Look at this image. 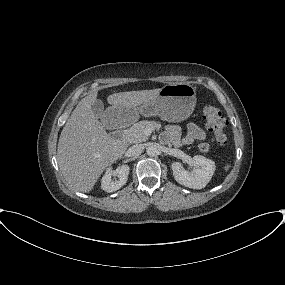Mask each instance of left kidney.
<instances>
[{"label": "left kidney", "mask_w": 285, "mask_h": 285, "mask_svg": "<svg viewBox=\"0 0 285 285\" xmlns=\"http://www.w3.org/2000/svg\"><path fill=\"white\" fill-rule=\"evenodd\" d=\"M193 170L186 171L181 163L174 162L171 165L175 180L186 187L193 189L204 188L211 180L215 171V162L204 156L196 155L191 161Z\"/></svg>", "instance_id": "1"}]
</instances>
